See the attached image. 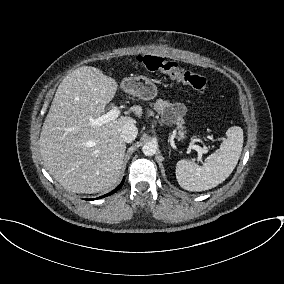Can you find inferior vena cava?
<instances>
[{
  "label": "inferior vena cava",
  "mask_w": 284,
  "mask_h": 284,
  "mask_svg": "<svg viewBox=\"0 0 284 284\" xmlns=\"http://www.w3.org/2000/svg\"><path fill=\"white\" fill-rule=\"evenodd\" d=\"M138 134V129L134 124H125L121 130V137L122 139L127 142L131 143L135 140Z\"/></svg>",
  "instance_id": "inferior-vena-cava-1"
}]
</instances>
